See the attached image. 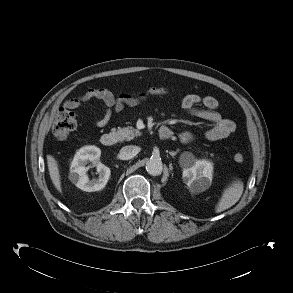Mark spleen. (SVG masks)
<instances>
[{"instance_id": "1", "label": "spleen", "mask_w": 293, "mask_h": 293, "mask_svg": "<svg viewBox=\"0 0 293 293\" xmlns=\"http://www.w3.org/2000/svg\"><path fill=\"white\" fill-rule=\"evenodd\" d=\"M243 190V182L240 179H236L231 186L224 190L222 198L216 207V212L220 213L235 205L242 196Z\"/></svg>"}]
</instances>
